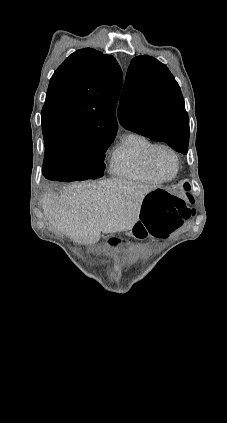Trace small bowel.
Returning <instances> with one entry per match:
<instances>
[{
    "label": "small bowel",
    "mask_w": 227,
    "mask_h": 423,
    "mask_svg": "<svg viewBox=\"0 0 227 423\" xmlns=\"http://www.w3.org/2000/svg\"><path fill=\"white\" fill-rule=\"evenodd\" d=\"M134 234L138 238H146L148 236H154L149 232L146 225L141 220L137 221V223L135 224Z\"/></svg>",
    "instance_id": "1"
}]
</instances>
